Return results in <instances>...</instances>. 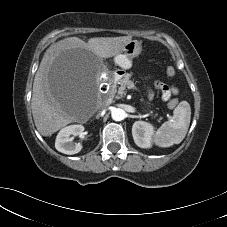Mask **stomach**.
Wrapping results in <instances>:
<instances>
[{"mask_svg": "<svg viewBox=\"0 0 227 227\" xmlns=\"http://www.w3.org/2000/svg\"><path fill=\"white\" fill-rule=\"evenodd\" d=\"M142 51V45L137 40L129 41L115 56V63L122 69H129L132 66V59Z\"/></svg>", "mask_w": 227, "mask_h": 227, "instance_id": "stomach-1", "label": "stomach"}]
</instances>
